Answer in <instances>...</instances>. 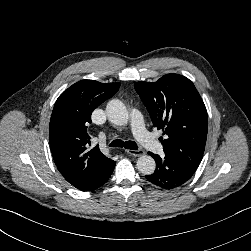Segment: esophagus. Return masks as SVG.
<instances>
[{
  "mask_svg": "<svg viewBox=\"0 0 251 251\" xmlns=\"http://www.w3.org/2000/svg\"><path fill=\"white\" fill-rule=\"evenodd\" d=\"M126 152L129 154V155H132V156H135V157H140L142 155L145 154V152L143 150H126Z\"/></svg>",
  "mask_w": 251,
  "mask_h": 251,
  "instance_id": "34e87169",
  "label": "esophagus"
}]
</instances>
